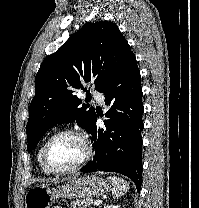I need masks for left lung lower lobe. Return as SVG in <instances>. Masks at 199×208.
<instances>
[{
    "label": "left lung lower lobe",
    "mask_w": 199,
    "mask_h": 208,
    "mask_svg": "<svg viewBox=\"0 0 199 208\" xmlns=\"http://www.w3.org/2000/svg\"><path fill=\"white\" fill-rule=\"evenodd\" d=\"M140 71L135 56H131L122 68L101 87L105 96V127L96 126L97 115L91 123L95 157L80 171L118 172L129 177L141 190L142 137V87Z\"/></svg>",
    "instance_id": "obj_1"
}]
</instances>
